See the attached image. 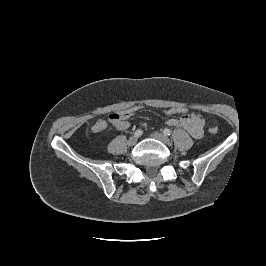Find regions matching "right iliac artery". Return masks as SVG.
<instances>
[{
    "label": "right iliac artery",
    "instance_id": "1",
    "mask_svg": "<svg viewBox=\"0 0 266 266\" xmlns=\"http://www.w3.org/2000/svg\"><path fill=\"white\" fill-rule=\"evenodd\" d=\"M142 133H143L142 130L138 129V130L135 131L134 135L139 137V136L142 135Z\"/></svg>",
    "mask_w": 266,
    "mask_h": 266
}]
</instances>
